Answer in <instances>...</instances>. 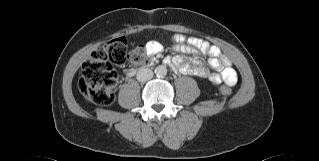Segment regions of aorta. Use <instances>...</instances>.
I'll return each mask as SVG.
<instances>
[{"label":"aorta","instance_id":"762f6f07","mask_svg":"<svg viewBox=\"0 0 319 161\" xmlns=\"http://www.w3.org/2000/svg\"><path fill=\"white\" fill-rule=\"evenodd\" d=\"M155 74L158 77H164L167 74V69L163 65H159L155 68Z\"/></svg>","mask_w":319,"mask_h":161}]
</instances>
